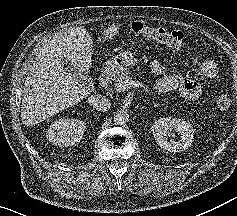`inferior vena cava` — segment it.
<instances>
[{
	"label": "inferior vena cava",
	"instance_id": "602c4592",
	"mask_svg": "<svg viewBox=\"0 0 237 216\" xmlns=\"http://www.w3.org/2000/svg\"><path fill=\"white\" fill-rule=\"evenodd\" d=\"M88 104L100 112H106L111 107L110 99L100 94L90 96L88 98Z\"/></svg>",
	"mask_w": 237,
	"mask_h": 216
}]
</instances>
